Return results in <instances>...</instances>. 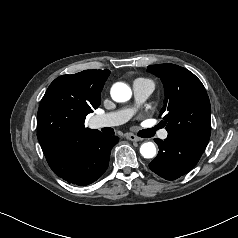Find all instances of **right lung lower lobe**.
<instances>
[{
    "label": "right lung lower lobe",
    "instance_id": "obj_1",
    "mask_svg": "<svg viewBox=\"0 0 238 238\" xmlns=\"http://www.w3.org/2000/svg\"><path fill=\"white\" fill-rule=\"evenodd\" d=\"M118 140L117 136L89 129L74 135L59 151L45 157L60 178L85 186L99 179L106 171L111 149Z\"/></svg>",
    "mask_w": 238,
    "mask_h": 238
}]
</instances>
